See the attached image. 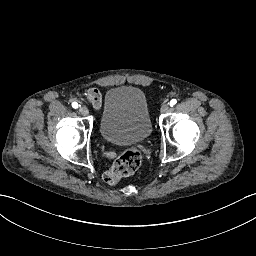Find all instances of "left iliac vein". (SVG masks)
Here are the masks:
<instances>
[{
  "instance_id": "4c4485c4",
  "label": "left iliac vein",
  "mask_w": 256,
  "mask_h": 256,
  "mask_svg": "<svg viewBox=\"0 0 256 256\" xmlns=\"http://www.w3.org/2000/svg\"><path fill=\"white\" fill-rule=\"evenodd\" d=\"M169 109H170V105L167 103H163L162 106L160 107V112L165 113L169 111Z\"/></svg>"
}]
</instances>
